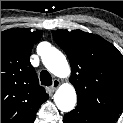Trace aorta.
Masks as SVG:
<instances>
[{
  "mask_svg": "<svg viewBox=\"0 0 123 123\" xmlns=\"http://www.w3.org/2000/svg\"><path fill=\"white\" fill-rule=\"evenodd\" d=\"M44 66L52 74L59 78H68L71 74L70 66L64 54L51 46L45 44V50L41 53ZM57 108L62 112H69L74 109L77 96L74 87L69 83L61 85L54 95Z\"/></svg>",
  "mask_w": 123,
  "mask_h": 123,
  "instance_id": "aorta-1",
  "label": "aorta"
}]
</instances>
